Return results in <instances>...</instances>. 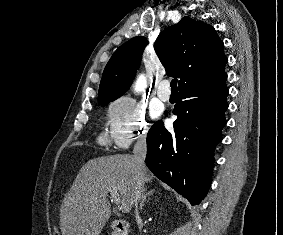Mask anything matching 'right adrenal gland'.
Instances as JSON below:
<instances>
[{
	"mask_svg": "<svg viewBox=\"0 0 283 235\" xmlns=\"http://www.w3.org/2000/svg\"><path fill=\"white\" fill-rule=\"evenodd\" d=\"M155 189L150 190L147 192V190H144L143 194H142V199L140 202V210H142L143 206H144V202L146 201L147 197L153 195L155 193Z\"/></svg>",
	"mask_w": 283,
	"mask_h": 235,
	"instance_id": "right-adrenal-gland-1",
	"label": "right adrenal gland"
}]
</instances>
